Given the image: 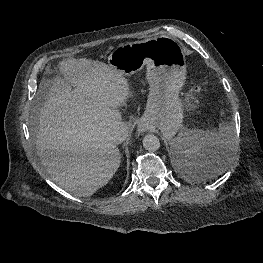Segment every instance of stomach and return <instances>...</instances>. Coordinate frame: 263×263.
Here are the masks:
<instances>
[{
	"label": "stomach",
	"instance_id": "stomach-1",
	"mask_svg": "<svg viewBox=\"0 0 263 263\" xmlns=\"http://www.w3.org/2000/svg\"><path fill=\"white\" fill-rule=\"evenodd\" d=\"M108 63L123 76H131L146 65L149 95L142 124L157 127L171 139L184 118V103L179 97L187 72L183 47L167 36L135 41L116 47Z\"/></svg>",
	"mask_w": 263,
	"mask_h": 263
}]
</instances>
